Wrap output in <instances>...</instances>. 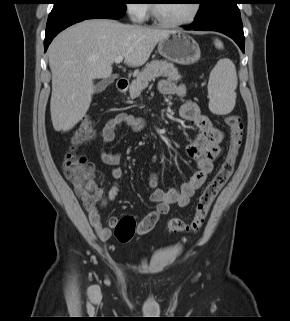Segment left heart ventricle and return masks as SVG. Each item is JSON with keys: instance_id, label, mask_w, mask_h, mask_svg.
Listing matches in <instances>:
<instances>
[{"instance_id": "b2bd125f", "label": "left heart ventricle", "mask_w": 290, "mask_h": 321, "mask_svg": "<svg viewBox=\"0 0 290 321\" xmlns=\"http://www.w3.org/2000/svg\"><path fill=\"white\" fill-rule=\"evenodd\" d=\"M162 17L172 21L188 18L194 8L193 0H161L158 4Z\"/></svg>"}]
</instances>
